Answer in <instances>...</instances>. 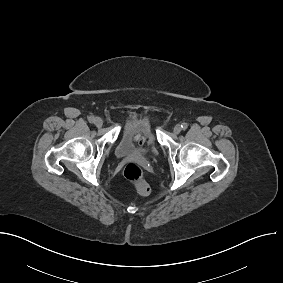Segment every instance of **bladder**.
<instances>
[{
	"mask_svg": "<svg viewBox=\"0 0 283 283\" xmlns=\"http://www.w3.org/2000/svg\"><path fill=\"white\" fill-rule=\"evenodd\" d=\"M144 140V143L139 140ZM158 152L156 136L146 118L133 119L123 130L116 145L119 158L154 157Z\"/></svg>",
	"mask_w": 283,
	"mask_h": 283,
	"instance_id": "1",
	"label": "bladder"
}]
</instances>
